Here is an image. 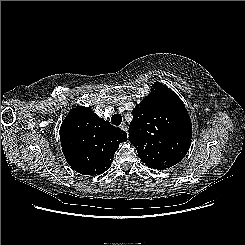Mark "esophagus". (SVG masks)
<instances>
[{"label": "esophagus", "instance_id": "34e87169", "mask_svg": "<svg viewBox=\"0 0 245 245\" xmlns=\"http://www.w3.org/2000/svg\"><path fill=\"white\" fill-rule=\"evenodd\" d=\"M120 128H121L122 130H124L125 132L128 131L127 125H126L125 123L121 124V125H120Z\"/></svg>", "mask_w": 245, "mask_h": 245}]
</instances>
